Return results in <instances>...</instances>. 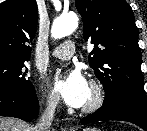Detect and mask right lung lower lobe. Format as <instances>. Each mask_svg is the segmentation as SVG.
I'll list each match as a JSON object with an SVG mask.
<instances>
[{"mask_svg": "<svg viewBox=\"0 0 147 131\" xmlns=\"http://www.w3.org/2000/svg\"><path fill=\"white\" fill-rule=\"evenodd\" d=\"M38 99L35 89L30 93L0 90V115L16 117L27 122L38 114Z\"/></svg>", "mask_w": 147, "mask_h": 131, "instance_id": "obj_1", "label": "right lung lower lobe"}]
</instances>
